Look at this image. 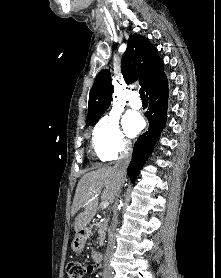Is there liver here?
I'll list each match as a JSON object with an SVG mask.
<instances>
[{"mask_svg":"<svg viewBox=\"0 0 221 278\" xmlns=\"http://www.w3.org/2000/svg\"><path fill=\"white\" fill-rule=\"evenodd\" d=\"M124 181L125 178L121 179L116 169L111 166L101 167L82 176L75 191L71 210L72 215H75L84 208L75 218L76 233L84 229L95 215L99 197L102 201L112 203L117 189Z\"/></svg>","mask_w":221,"mask_h":278,"instance_id":"1","label":"liver"}]
</instances>
